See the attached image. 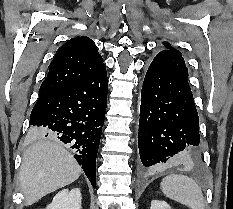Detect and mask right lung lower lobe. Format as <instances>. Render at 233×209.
Instances as JSON below:
<instances>
[{"label":"right lung lower lobe","mask_w":233,"mask_h":209,"mask_svg":"<svg viewBox=\"0 0 233 209\" xmlns=\"http://www.w3.org/2000/svg\"><path fill=\"white\" fill-rule=\"evenodd\" d=\"M107 89L104 65L79 82L40 96L30 115V125L57 135L58 139L74 150L75 159L94 188Z\"/></svg>","instance_id":"obj_1"}]
</instances>
